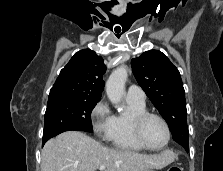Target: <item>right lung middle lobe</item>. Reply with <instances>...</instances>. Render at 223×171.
Masks as SVG:
<instances>
[{"instance_id":"dd1d6c3e","label":"right lung middle lobe","mask_w":223,"mask_h":171,"mask_svg":"<svg viewBox=\"0 0 223 171\" xmlns=\"http://www.w3.org/2000/svg\"><path fill=\"white\" fill-rule=\"evenodd\" d=\"M99 100L63 97L48 100L45 113L43 140L55 136V133L67 127L92 132L91 112Z\"/></svg>"}]
</instances>
